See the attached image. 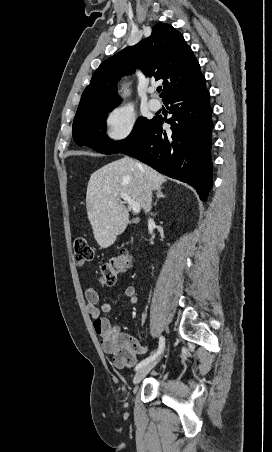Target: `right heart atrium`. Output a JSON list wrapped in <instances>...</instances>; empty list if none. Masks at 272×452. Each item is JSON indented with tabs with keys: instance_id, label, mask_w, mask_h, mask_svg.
<instances>
[{
	"instance_id": "obj_1",
	"label": "right heart atrium",
	"mask_w": 272,
	"mask_h": 452,
	"mask_svg": "<svg viewBox=\"0 0 272 452\" xmlns=\"http://www.w3.org/2000/svg\"><path fill=\"white\" fill-rule=\"evenodd\" d=\"M136 124L137 116L132 108L117 105L105 114V137L112 142L123 141L132 134Z\"/></svg>"
}]
</instances>
